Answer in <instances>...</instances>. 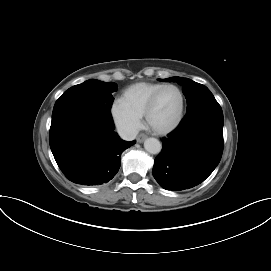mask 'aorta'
<instances>
[{
	"mask_svg": "<svg viewBox=\"0 0 271 271\" xmlns=\"http://www.w3.org/2000/svg\"><path fill=\"white\" fill-rule=\"evenodd\" d=\"M144 148L150 154H158L162 149V144L156 138H148L144 142Z\"/></svg>",
	"mask_w": 271,
	"mask_h": 271,
	"instance_id": "aorta-1",
	"label": "aorta"
}]
</instances>
